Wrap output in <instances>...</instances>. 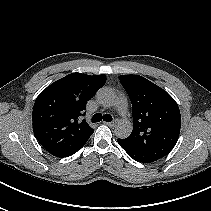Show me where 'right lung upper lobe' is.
I'll use <instances>...</instances> for the list:
<instances>
[{"mask_svg":"<svg viewBox=\"0 0 211 211\" xmlns=\"http://www.w3.org/2000/svg\"><path fill=\"white\" fill-rule=\"evenodd\" d=\"M105 82V75L71 73L39 94L33 107V132L50 154L68 157L84 146L94 130L80 119L87 101Z\"/></svg>","mask_w":211,"mask_h":211,"instance_id":"obj_1","label":"right lung upper lobe"}]
</instances>
